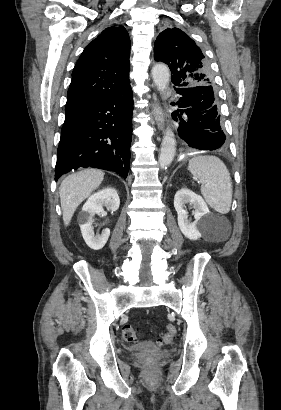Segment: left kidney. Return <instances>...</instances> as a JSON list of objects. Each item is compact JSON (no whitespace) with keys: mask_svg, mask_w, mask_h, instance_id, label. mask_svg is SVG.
Wrapping results in <instances>:
<instances>
[{"mask_svg":"<svg viewBox=\"0 0 281 410\" xmlns=\"http://www.w3.org/2000/svg\"><path fill=\"white\" fill-rule=\"evenodd\" d=\"M187 203L192 204L195 209L194 222L188 220V212L185 209ZM174 207L178 214V225L182 234L190 240L201 238V232L210 224V211L204 199L193 191L182 188L175 194Z\"/></svg>","mask_w":281,"mask_h":410,"instance_id":"left-kidney-1","label":"left kidney"}]
</instances>
